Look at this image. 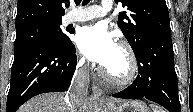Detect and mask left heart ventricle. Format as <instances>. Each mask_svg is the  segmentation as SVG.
<instances>
[{
  "label": "left heart ventricle",
  "instance_id": "left-heart-ventricle-1",
  "mask_svg": "<svg viewBox=\"0 0 193 112\" xmlns=\"http://www.w3.org/2000/svg\"><path fill=\"white\" fill-rule=\"evenodd\" d=\"M104 68L113 76H124L128 70V59L125 51L117 46L114 55Z\"/></svg>",
  "mask_w": 193,
  "mask_h": 112
}]
</instances>
